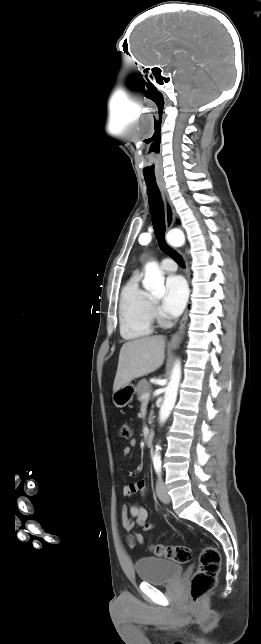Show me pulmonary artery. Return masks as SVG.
Wrapping results in <instances>:
<instances>
[{
	"label": "pulmonary artery",
	"instance_id": "1",
	"mask_svg": "<svg viewBox=\"0 0 261 644\" xmlns=\"http://www.w3.org/2000/svg\"><path fill=\"white\" fill-rule=\"evenodd\" d=\"M161 267L163 270L167 272L175 271L176 270V263L171 260V259H164L161 262Z\"/></svg>",
	"mask_w": 261,
	"mask_h": 644
}]
</instances>
